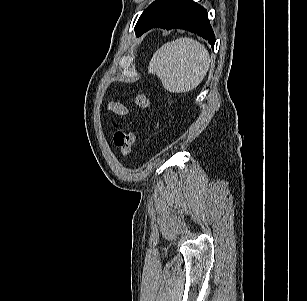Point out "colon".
Here are the masks:
<instances>
[{"label": "colon", "mask_w": 307, "mask_h": 301, "mask_svg": "<svg viewBox=\"0 0 307 301\" xmlns=\"http://www.w3.org/2000/svg\"><path fill=\"white\" fill-rule=\"evenodd\" d=\"M149 98L145 92H138L134 98L137 108L145 110L149 107ZM135 141V132L132 128L121 125L114 134V143L120 149L123 157L129 156Z\"/></svg>", "instance_id": "colon-1"}]
</instances>
